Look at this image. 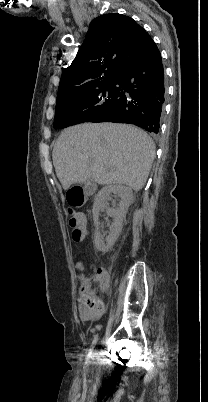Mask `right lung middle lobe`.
Wrapping results in <instances>:
<instances>
[{"instance_id":"right-lung-middle-lobe-1","label":"right lung middle lobe","mask_w":208,"mask_h":402,"mask_svg":"<svg viewBox=\"0 0 208 402\" xmlns=\"http://www.w3.org/2000/svg\"><path fill=\"white\" fill-rule=\"evenodd\" d=\"M116 93L114 80H97L58 94L54 128L84 122L97 113L109 111L115 105Z\"/></svg>"}]
</instances>
